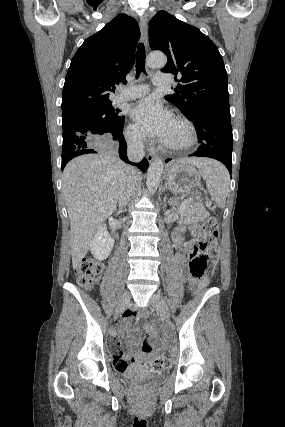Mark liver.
Segmentation results:
<instances>
[{"instance_id":"obj_1","label":"liver","mask_w":285,"mask_h":427,"mask_svg":"<svg viewBox=\"0 0 285 427\" xmlns=\"http://www.w3.org/2000/svg\"><path fill=\"white\" fill-rule=\"evenodd\" d=\"M177 162L202 168L212 160L185 158ZM126 168L127 165L111 152L79 156L66 165L62 175V192L70 220L74 269L78 268L90 249L96 229L114 212Z\"/></svg>"}]
</instances>
